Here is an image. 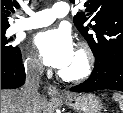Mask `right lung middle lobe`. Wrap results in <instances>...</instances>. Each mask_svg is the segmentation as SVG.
I'll use <instances>...</instances> for the list:
<instances>
[{"mask_svg":"<svg viewBox=\"0 0 123 113\" xmlns=\"http://www.w3.org/2000/svg\"><path fill=\"white\" fill-rule=\"evenodd\" d=\"M7 28L1 29V58L15 60L21 56V51L17 46H12V38L5 36Z\"/></svg>","mask_w":123,"mask_h":113,"instance_id":"dd1d6c3e","label":"right lung middle lobe"}]
</instances>
